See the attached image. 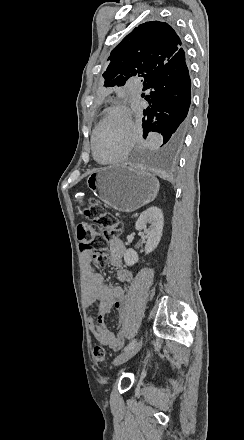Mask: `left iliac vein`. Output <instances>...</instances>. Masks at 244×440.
<instances>
[{"label": "left iliac vein", "instance_id": "4c4485c4", "mask_svg": "<svg viewBox=\"0 0 244 440\" xmlns=\"http://www.w3.org/2000/svg\"><path fill=\"white\" fill-rule=\"evenodd\" d=\"M142 347V339L138 341L132 348L122 352L114 359V364L119 365L131 359Z\"/></svg>", "mask_w": 244, "mask_h": 440}]
</instances>
